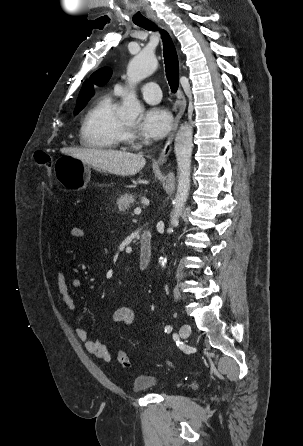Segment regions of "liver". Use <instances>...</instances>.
Returning a JSON list of instances; mask_svg holds the SVG:
<instances>
[{
    "label": "liver",
    "mask_w": 303,
    "mask_h": 446,
    "mask_svg": "<svg viewBox=\"0 0 303 446\" xmlns=\"http://www.w3.org/2000/svg\"><path fill=\"white\" fill-rule=\"evenodd\" d=\"M61 152L96 169L119 176L135 175L146 164L143 155L122 151L69 147L62 149Z\"/></svg>",
    "instance_id": "obj_1"
}]
</instances>
